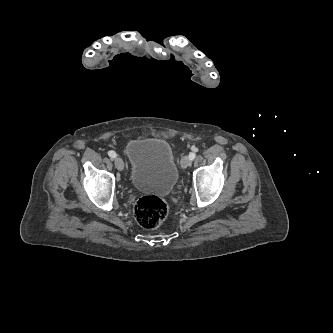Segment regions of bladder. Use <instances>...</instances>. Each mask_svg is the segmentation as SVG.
I'll return each mask as SVG.
<instances>
[{
    "instance_id": "31cf9c89",
    "label": "bladder",
    "mask_w": 333,
    "mask_h": 333,
    "mask_svg": "<svg viewBox=\"0 0 333 333\" xmlns=\"http://www.w3.org/2000/svg\"><path fill=\"white\" fill-rule=\"evenodd\" d=\"M126 154L130 162V181L137 190L166 194L177 184L179 172L172 148L166 140H130Z\"/></svg>"
}]
</instances>
